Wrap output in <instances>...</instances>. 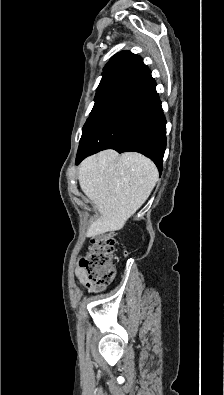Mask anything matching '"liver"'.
<instances>
[{
    "label": "liver",
    "mask_w": 224,
    "mask_h": 395,
    "mask_svg": "<svg viewBox=\"0 0 224 395\" xmlns=\"http://www.w3.org/2000/svg\"><path fill=\"white\" fill-rule=\"evenodd\" d=\"M82 191L100 217L87 230V237L123 228L145 203L158 181V170L147 157L105 150L87 157L79 166Z\"/></svg>",
    "instance_id": "liver-1"
}]
</instances>
